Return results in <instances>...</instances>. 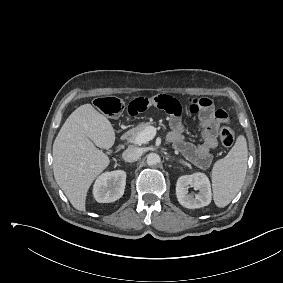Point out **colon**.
I'll return each mask as SVG.
<instances>
[{"label":"colon","instance_id":"5ec220e1","mask_svg":"<svg viewBox=\"0 0 283 283\" xmlns=\"http://www.w3.org/2000/svg\"><path fill=\"white\" fill-rule=\"evenodd\" d=\"M96 108L109 117H117L121 115L128 107L122 100L115 97H101L94 102ZM221 143L230 147L235 141V133L229 127H221L219 130Z\"/></svg>","mask_w":283,"mask_h":283}]
</instances>
